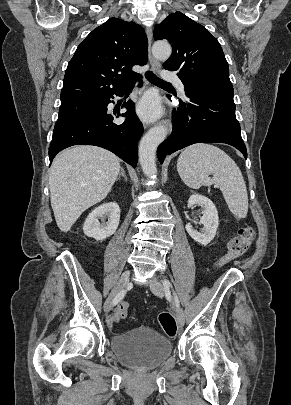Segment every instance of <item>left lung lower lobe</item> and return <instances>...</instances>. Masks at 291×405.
Returning <instances> with one entry per match:
<instances>
[{
	"label": "left lung lower lobe",
	"instance_id": "0a47b994",
	"mask_svg": "<svg viewBox=\"0 0 291 405\" xmlns=\"http://www.w3.org/2000/svg\"><path fill=\"white\" fill-rule=\"evenodd\" d=\"M186 101L173 111V132L158 146L163 163L167 155L195 143H226L245 158L247 151L235 116L234 90L226 85L184 84Z\"/></svg>",
	"mask_w": 291,
	"mask_h": 405
}]
</instances>
